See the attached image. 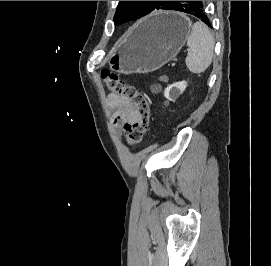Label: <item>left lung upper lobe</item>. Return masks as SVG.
I'll list each match as a JSON object with an SVG mask.
<instances>
[{"label": "left lung upper lobe", "mask_w": 271, "mask_h": 266, "mask_svg": "<svg viewBox=\"0 0 271 266\" xmlns=\"http://www.w3.org/2000/svg\"><path fill=\"white\" fill-rule=\"evenodd\" d=\"M175 1H119L114 23L122 24L139 19L154 10L169 9Z\"/></svg>", "instance_id": "left-lung-upper-lobe-1"}]
</instances>
